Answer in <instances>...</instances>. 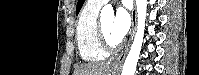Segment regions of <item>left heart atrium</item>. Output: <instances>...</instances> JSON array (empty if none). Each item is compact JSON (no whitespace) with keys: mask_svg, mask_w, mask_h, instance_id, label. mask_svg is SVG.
<instances>
[{"mask_svg":"<svg viewBox=\"0 0 199 75\" xmlns=\"http://www.w3.org/2000/svg\"><path fill=\"white\" fill-rule=\"evenodd\" d=\"M131 24V18L125 6L117 9V13L112 23V34L120 42L127 34Z\"/></svg>","mask_w":199,"mask_h":75,"instance_id":"left-heart-atrium-1","label":"left heart atrium"}]
</instances>
